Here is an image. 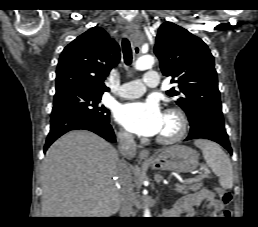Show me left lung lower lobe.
Listing matches in <instances>:
<instances>
[{
	"mask_svg": "<svg viewBox=\"0 0 258 227\" xmlns=\"http://www.w3.org/2000/svg\"><path fill=\"white\" fill-rule=\"evenodd\" d=\"M197 138L215 141L226 148L230 154H232L222 113L206 112L196 123L190 124V133L186 140Z\"/></svg>",
	"mask_w": 258,
	"mask_h": 227,
	"instance_id": "left-lung-lower-lobe-1",
	"label": "left lung lower lobe"
}]
</instances>
